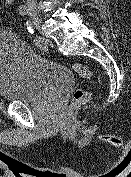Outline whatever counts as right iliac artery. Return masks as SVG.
<instances>
[{
    "instance_id": "1",
    "label": "right iliac artery",
    "mask_w": 131,
    "mask_h": 177,
    "mask_svg": "<svg viewBox=\"0 0 131 177\" xmlns=\"http://www.w3.org/2000/svg\"><path fill=\"white\" fill-rule=\"evenodd\" d=\"M28 12V9L25 5H21L19 7V13L22 16H25ZM35 45L39 46L41 49L46 50V46L43 44V41L41 39L34 40Z\"/></svg>"
}]
</instances>
